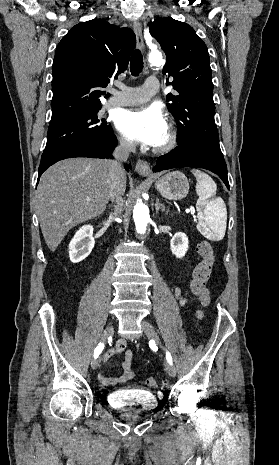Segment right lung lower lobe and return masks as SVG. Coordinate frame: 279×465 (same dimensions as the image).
<instances>
[{"instance_id": "right-lung-lower-lobe-1", "label": "right lung lower lobe", "mask_w": 279, "mask_h": 465, "mask_svg": "<svg viewBox=\"0 0 279 465\" xmlns=\"http://www.w3.org/2000/svg\"><path fill=\"white\" fill-rule=\"evenodd\" d=\"M117 145V138L114 135L103 138L101 140H88L84 139L75 142L67 147L54 153L49 158L40 162L38 170V180L41 174L54 163L72 157H89V158H108L111 157V152ZM125 168L129 171V166L126 164Z\"/></svg>"}]
</instances>
